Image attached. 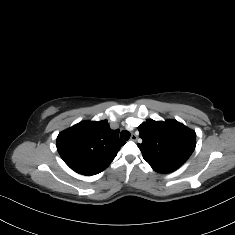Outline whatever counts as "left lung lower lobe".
Instances as JSON below:
<instances>
[{
	"mask_svg": "<svg viewBox=\"0 0 235 235\" xmlns=\"http://www.w3.org/2000/svg\"><path fill=\"white\" fill-rule=\"evenodd\" d=\"M150 166L158 173H170L175 171L179 167L165 165V164H158V163H149Z\"/></svg>",
	"mask_w": 235,
	"mask_h": 235,
	"instance_id": "0a47b994",
	"label": "left lung lower lobe"
}]
</instances>
